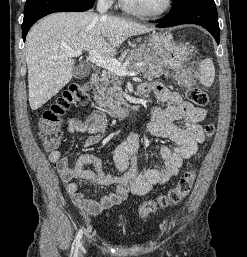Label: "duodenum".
Instances as JSON below:
<instances>
[{
  "instance_id": "1",
  "label": "duodenum",
  "mask_w": 247,
  "mask_h": 257,
  "mask_svg": "<svg viewBox=\"0 0 247 257\" xmlns=\"http://www.w3.org/2000/svg\"><path fill=\"white\" fill-rule=\"evenodd\" d=\"M99 81V74L97 72H93L90 75V84L91 85H96ZM145 89L142 85H140L137 89V96L140 94L144 93ZM136 109L135 104H129V105H124L120 107H110L106 108V111L108 112L109 115L112 117L118 118V119H124L133 114V112Z\"/></svg>"
}]
</instances>
